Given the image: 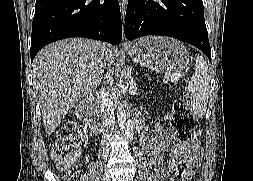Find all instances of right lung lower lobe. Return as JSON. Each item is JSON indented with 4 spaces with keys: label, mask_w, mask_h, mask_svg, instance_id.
<instances>
[{
    "label": "right lung lower lobe",
    "mask_w": 253,
    "mask_h": 181,
    "mask_svg": "<svg viewBox=\"0 0 253 181\" xmlns=\"http://www.w3.org/2000/svg\"><path fill=\"white\" fill-rule=\"evenodd\" d=\"M69 37L118 45L122 39L118 0H36L31 61L45 45Z\"/></svg>",
    "instance_id": "obj_1"
}]
</instances>
